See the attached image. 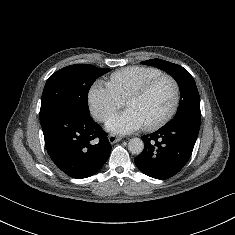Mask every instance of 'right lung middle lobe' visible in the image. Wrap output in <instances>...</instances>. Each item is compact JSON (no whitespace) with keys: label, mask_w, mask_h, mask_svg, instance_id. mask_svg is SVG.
Here are the masks:
<instances>
[{"label":"right lung middle lobe","mask_w":235,"mask_h":235,"mask_svg":"<svg viewBox=\"0 0 235 235\" xmlns=\"http://www.w3.org/2000/svg\"><path fill=\"white\" fill-rule=\"evenodd\" d=\"M109 71L89 64H75L53 73L43 90L40 121L64 109L89 115V89L98 77Z\"/></svg>","instance_id":"right-lung-middle-lobe-1"}]
</instances>
